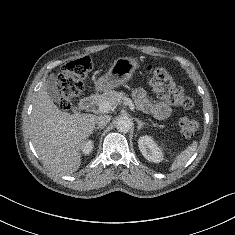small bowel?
Segmentation results:
<instances>
[{
  "label": "small bowel",
  "instance_id": "c3829d8e",
  "mask_svg": "<svg viewBox=\"0 0 235 235\" xmlns=\"http://www.w3.org/2000/svg\"><path fill=\"white\" fill-rule=\"evenodd\" d=\"M133 97L139 109L148 112L158 119H166L170 117L174 110L166 103L152 101L146 91L142 88L133 92Z\"/></svg>",
  "mask_w": 235,
  "mask_h": 235
}]
</instances>
